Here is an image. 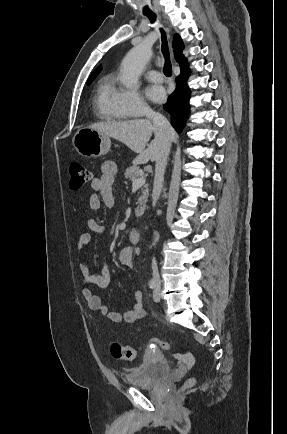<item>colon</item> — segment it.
<instances>
[{
	"instance_id": "5ec220e1",
	"label": "colon",
	"mask_w": 287,
	"mask_h": 434,
	"mask_svg": "<svg viewBox=\"0 0 287 434\" xmlns=\"http://www.w3.org/2000/svg\"><path fill=\"white\" fill-rule=\"evenodd\" d=\"M70 182L69 186L72 190L80 189L82 186H84L86 183H88L92 178L91 171L80 163H73L70 166ZM152 345H154L157 348H160L162 350H170L171 346L168 342H165L163 340L154 338L150 341ZM111 354L116 359H123L132 361L136 358V351L134 348L122 345L118 342H114L111 345ZM181 357H183L185 360H188V355L186 351H182ZM195 384V379L190 378L186 381L184 388H191Z\"/></svg>"
}]
</instances>
